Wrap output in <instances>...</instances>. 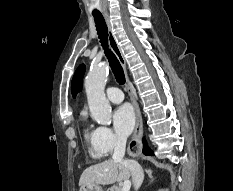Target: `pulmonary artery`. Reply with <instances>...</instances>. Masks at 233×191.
<instances>
[{"mask_svg": "<svg viewBox=\"0 0 233 191\" xmlns=\"http://www.w3.org/2000/svg\"><path fill=\"white\" fill-rule=\"evenodd\" d=\"M106 96L112 103H120L124 99L122 91L117 87H109L106 90Z\"/></svg>", "mask_w": 233, "mask_h": 191, "instance_id": "obj_1", "label": "pulmonary artery"}]
</instances>
